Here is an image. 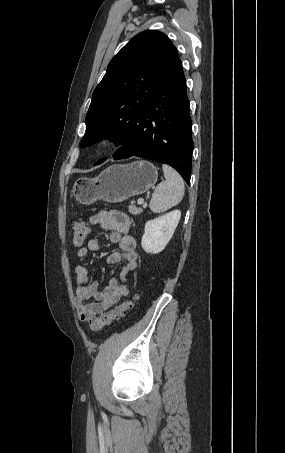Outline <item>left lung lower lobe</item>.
I'll list each match as a JSON object with an SVG mask.
<instances>
[{
	"label": "left lung lower lobe",
	"instance_id": "obj_1",
	"mask_svg": "<svg viewBox=\"0 0 285 453\" xmlns=\"http://www.w3.org/2000/svg\"><path fill=\"white\" fill-rule=\"evenodd\" d=\"M193 148L186 80L177 53L113 158L137 156L168 164L190 185Z\"/></svg>",
	"mask_w": 285,
	"mask_h": 453
}]
</instances>
